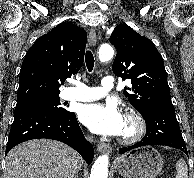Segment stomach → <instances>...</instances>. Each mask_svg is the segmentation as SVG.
Segmentation results:
<instances>
[{
    "mask_svg": "<svg viewBox=\"0 0 194 178\" xmlns=\"http://www.w3.org/2000/svg\"><path fill=\"white\" fill-rule=\"evenodd\" d=\"M116 166L124 178H156L163 159L156 149L145 146L118 157Z\"/></svg>",
    "mask_w": 194,
    "mask_h": 178,
    "instance_id": "obj_1",
    "label": "stomach"
}]
</instances>
